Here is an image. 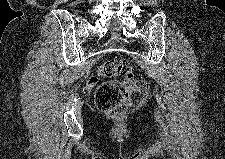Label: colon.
<instances>
[{"instance_id": "obj_1", "label": "colon", "mask_w": 225, "mask_h": 159, "mask_svg": "<svg viewBox=\"0 0 225 159\" xmlns=\"http://www.w3.org/2000/svg\"><path fill=\"white\" fill-rule=\"evenodd\" d=\"M99 76H120L123 81L109 80L96 90L95 102L98 109L111 117L123 115L129 108L139 107L149 95V86L144 80L134 77L133 69L122 57L104 61L99 67Z\"/></svg>"}]
</instances>
